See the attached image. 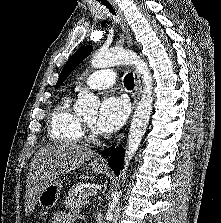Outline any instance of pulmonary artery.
Segmentation results:
<instances>
[{
  "label": "pulmonary artery",
  "instance_id": "e3ab8cb5",
  "mask_svg": "<svg viewBox=\"0 0 221 223\" xmlns=\"http://www.w3.org/2000/svg\"><path fill=\"white\" fill-rule=\"evenodd\" d=\"M117 76V73L110 69L95 71L84 82L78 83L75 86V91H80L83 88L99 90L109 88L117 81Z\"/></svg>",
  "mask_w": 221,
  "mask_h": 223
}]
</instances>
